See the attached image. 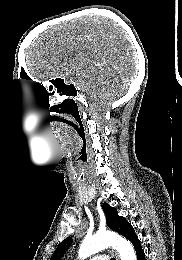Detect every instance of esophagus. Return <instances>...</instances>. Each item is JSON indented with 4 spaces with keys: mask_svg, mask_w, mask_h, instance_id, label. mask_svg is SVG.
Listing matches in <instances>:
<instances>
[{
    "mask_svg": "<svg viewBox=\"0 0 182 260\" xmlns=\"http://www.w3.org/2000/svg\"><path fill=\"white\" fill-rule=\"evenodd\" d=\"M115 255H116V259H117V260H119V256H118V254H117V253H115Z\"/></svg>",
    "mask_w": 182,
    "mask_h": 260,
    "instance_id": "1",
    "label": "esophagus"
}]
</instances>
